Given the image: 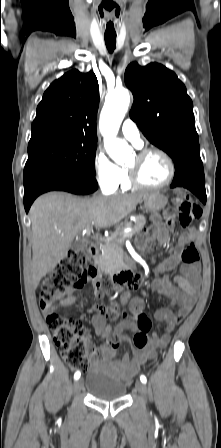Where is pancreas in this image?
<instances>
[{
    "instance_id": "cf45deb5",
    "label": "pancreas",
    "mask_w": 221,
    "mask_h": 448,
    "mask_svg": "<svg viewBox=\"0 0 221 448\" xmlns=\"http://www.w3.org/2000/svg\"><path fill=\"white\" fill-rule=\"evenodd\" d=\"M145 217L143 215L136 216L135 230L132 231V235L139 232L145 225ZM123 233L117 231L112 234L102 246V254L98 259L99 267L107 273L117 272L123 265L125 259Z\"/></svg>"
}]
</instances>
